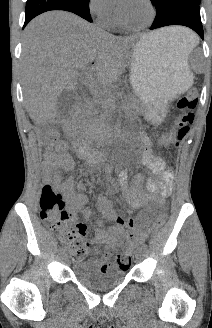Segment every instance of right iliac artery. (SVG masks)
Segmentation results:
<instances>
[{
  "label": "right iliac artery",
  "instance_id": "right-iliac-artery-1",
  "mask_svg": "<svg viewBox=\"0 0 212 328\" xmlns=\"http://www.w3.org/2000/svg\"><path fill=\"white\" fill-rule=\"evenodd\" d=\"M59 251H60L61 253H63V252L65 251V248H64V247H60Z\"/></svg>",
  "mask_w": 212,
  "mask_h": 328
}]
</instances>
